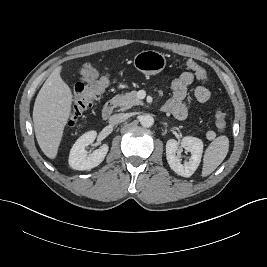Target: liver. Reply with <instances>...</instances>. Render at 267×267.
Wrapping results in <instances>:
<instances>
[{"label": "liver", "instance_id": "6515ba94", "mask_svg": "<svg viewBox=\"0 0 267 267\" xmlns=\"http://www.w3.org/2000/svg\"><path fill=\"white\" fill-rule=\"evenodd\" d=\"M62 66L49 75L40 89L33 108V123L37 142L43 153L55 159L64 128L71 115L73 95L61 78Z\"/></svg>", "mask_w": 267, "mask_h": 267}]
</instances>
